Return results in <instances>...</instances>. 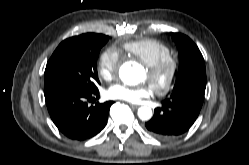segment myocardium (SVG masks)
Instances as JSON below:
<instances>
[{
  "instance_id": "obj_1",
  "label": "myocardium",
  "mask_w": 249,
  "mask_h": 165,
  "mask_svg": "<svg viewBox=\"0 0 249 165\" xmlns=\"http://www.w3.org/2000/svg\"><path fill=\"white\" fill-rule=\"evenodd\" d=\"M178 69V60L172 55L164 57L154 64L146 65L149 80L159 94H166L173 88Z\"/></svg>"
}]
</instances>
